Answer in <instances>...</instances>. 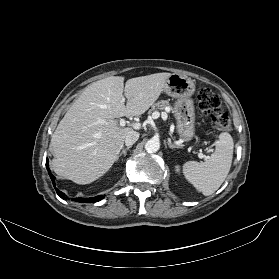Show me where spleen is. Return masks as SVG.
Returning a JSON list of instances; mask_svg holds the SVG:
<instances>
[{"label":"spleen","mask_w":279,"mask_h":279,"mask_svg":"<svg viewBox=\"0 0 279 279\" xmlns=\"http://www.w3.org/2000/svg\"><path fill=\"white\" fill-rule=\"evenodd\" d=\"M234 142L223 132L215 144L214 153L205 161H187L183 165L185 178L205 196L213 194L226 179L232 164Z\"/></svg>","instance_id":"obj_1"}]
</instances>
